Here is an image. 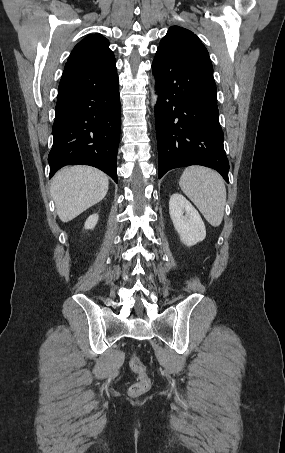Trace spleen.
<instances>
[{
    "instance_id": "spleen-1",
    "label": "spleen",
    "mask_w": 285,
    "mask_h": 453,
    "mask_svg": "<svg viewBox=\"0 0 285 453\" xmlns=\"http://www.w3.org/2000/svg\"><path fill=\"white\" fill-rule=\"evenodd\" d=\"M179 185L184 194L195 204L204 218L218 227L224 216L226 187L222 176L202 166L186 168Z\"/></svg>"
}]
</instances>
